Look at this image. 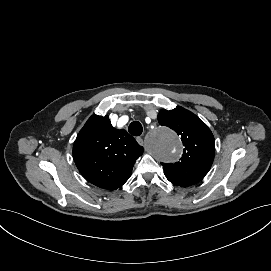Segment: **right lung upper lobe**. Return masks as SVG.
I'll return each instance as SVG.
<instances>
[{"label": "right lung upper lobe", "mask_w": 271, "mask_h": 271, "mask_svg": "<svg viewBox=\"0 0 271 271\" xmlns=\"http://www.w3.org/2000/svg\"><path fill=\"white\" fill-rule=\"evenodd\" d=\"M143 147L125 130L115 129L108 116L93 115L79 132L73 157L80 173L92 184L115 190L130 177Z\"/></svg>", "instance_id": "right-lung-upper-lobe-1"}]
</instances>
